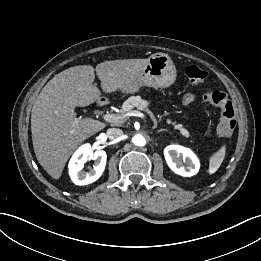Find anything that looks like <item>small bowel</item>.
Listing matches in <instances>:
<instances>
[{
    "label": "small bowel",
    "instance_id": "obj_1",
    "mask_svg": "<svg viewBox=\"0 0 261 261\" xmlns=\"http://www.w3.org/2000/svg\"><path fill=\"white\" fill-rule=\"evenodd\" d=\"M192 101H193V96L188 95V96L186 97V103H187V104H190Z\"/></svg>",
    "mask_w": 261,
    "mask_h": 261
}]
</instances>
